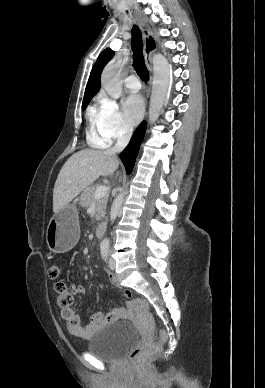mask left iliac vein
<instances>
[{
    "instance_id": "1",
    "label": "left iliac vein",
    "mask_w": 265,
    "mask_h": 388,
    "mask_svg": "<svg viewBox=\"0 0 265 388\" xmlns=\"http://www.w3.org/2000/svg\"><path fill=\"white\" fill-rule=\"evenodd\" d=\"M109 268H110L111 270H114V269H115V261H114L113 258H110V259H109Z\"/></svg>"
}]
</instances>
